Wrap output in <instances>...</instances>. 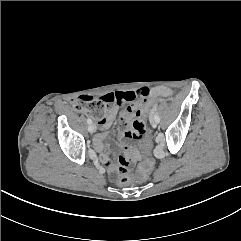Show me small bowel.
<instances>
[{
    "label": "small bowel",
    "instance_id": "c3829d8e",
    "mask_svg": "<svg viewBox=\"0 0 241 241\" xmlns=\"http://www.w3.org/2000/svg\"><path fill=\"white\" fill-rule=\"evenodd\" d=\"M172 94V90L167 87H157L150 90L147 86L142 85L135 91L115 92L111 95L116 99L115 106L111 108L107 117L99 121L102 129L110 127L118 108L123 107L121 111L122 118V137L124 141H135L144 138L145 125L139 117L140 106L148 101L150 97H167ZM106 133H97L94 137V146L99 153L101 162L106 166L108 173L114 177L117 169L110 162L108 153L105 148ZM123 151L129 159L137 156V149L131 144L124 142Z\"/></svg>",
    "mask_w": 241,
    "mask_h": 241
}]
</instances>
